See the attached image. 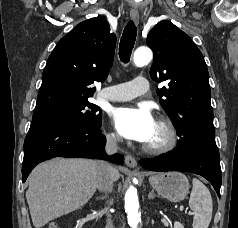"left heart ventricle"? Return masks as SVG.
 Listing matches in <instances>:
<instances>
[{"instance_id":"obj_1","label":"left heart ventricle","mask_w":238,"mask_h":228,"mask_svg":"<svg viewBox=\"0 0 238 228\" xmlns=\"http://www.w3.org/2000/svg\"><path fill=\"white\" fill-rule=\"evenodd\" d=\"M165 139L163 130L156 124L155 130L151 138L146 142L148 145H158Z\"/></svg>"}]
</instances>
